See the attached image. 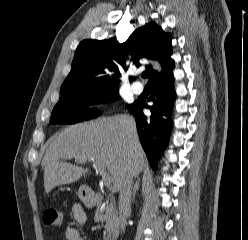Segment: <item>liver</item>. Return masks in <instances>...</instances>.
Instances as JSON below:
<instances>
[{
	"instance_id": "obj_1",
	"label": "liver",
	"mask_w": 248,
	"mask_h": 240,
	"mask_svg": "<svg viewBox=\"0 0 248 240\" xmlns=\"http://www.w3.org/2000/svg\"><path fill=\"white\" fill-rule=\"evenodd\" d=\"M73 158L80 164L104 165L112 175L114 191H119L128 173L137 177L145 166L135 122L128 115L99 118L56 133L42 161L46 193L87 176L88 168L66 162Z\"/></svg>"
}]
</instances>
